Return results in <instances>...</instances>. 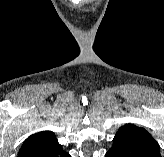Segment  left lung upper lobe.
I'll return each instance as SVG.
<instances>
[{
  "label": "left lung upper lobe",
  "instance_id": "obj_1",
  "mask_svg": "<svg viewBox=\"0 0 164 157\" xmlns=\"http://www.w3.org/2000/svg\"><path fill=\"white\" fill-rule=\"evenodd\" d=\"M116 137H126L148 145L151 149L160 152L157 141L144 129L133 124H126L119 128Z\"/></svg>",
  "mask_w": 164,
  "mask_h": 157
}]
</instances>
